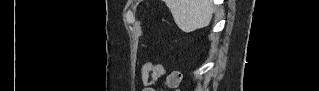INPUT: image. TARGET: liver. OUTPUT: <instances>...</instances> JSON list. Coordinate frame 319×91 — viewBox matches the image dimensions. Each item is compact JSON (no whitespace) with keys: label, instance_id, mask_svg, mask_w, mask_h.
<instances>
[{"label":"liver","instance_id":"obj_1","mask_svg":"<svg viewBox=\"0 0 319 91\" xmlns=\"http://www.w3.org/2000/svg\"><path fill=\"white\" fill-rule=\"evenodd\" d=\"M175 23L184 32H191L209 25L213 5L211 0H165Z\"/></svg>","mask_w":319,"mask_h":91}]
</instances>
